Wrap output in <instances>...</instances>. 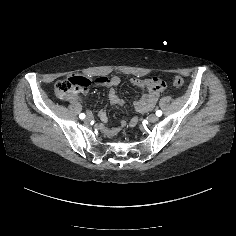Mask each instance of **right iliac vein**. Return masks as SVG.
<instances>
[{"instance_id":"right-iliac-vein-1","label":"right iliac vein","mask_w":236,"mask_h":236,"mask_svg":"<svg viewBox=\"0 0 236 236\" xmlns=\"http://www.w3.org/2000/svg\"><path fill=\"white\" fill-rule=\"evenodd\" d=\"M92 118H93L92 114L89 113L87 117L85 118V122H90Z\"/></svg>"}]
</instances>
